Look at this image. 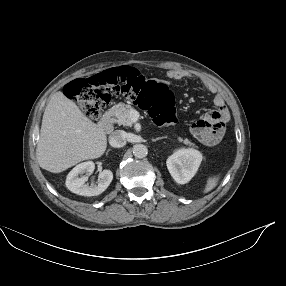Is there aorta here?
Masks as SVG:
<instances>
[{
	"instance_id": "1",
	"label": "aorta",
	"mask_w": 286,
	"mask_h": 286,
	"mask_svg": "<svg viewBox=\"0 0 286 286\" xmlns=\"http://www.w3.org/2000/svg\"><path fill=\"white\" fill-rule=\"evenodd\" d=\"M148 149L145 145L143 144H136L133 147V154L137 158H143L147 155Z\"/></svg>"
}]
</instances>
